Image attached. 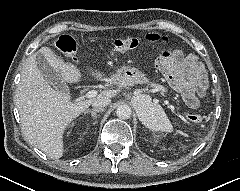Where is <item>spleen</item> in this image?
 <instances>
[{
	"instance_id": "1",
	"label": "spleen",
	"mask_w": 240,
	"mask_h": 191,
	"mask_svg": "<svg viewBox=\"0 0 240 191\" xmlns=\"http://www.w3.org/2000/svg\"><path fill=\"white\" fill-rule=\"evenodd\" d=\"M144 98L148 101L145 112L141 114L144 125L153 131L171 132L173 127L163 109L153 104L148 97Z\"/></svg>"
}]
</instances>
